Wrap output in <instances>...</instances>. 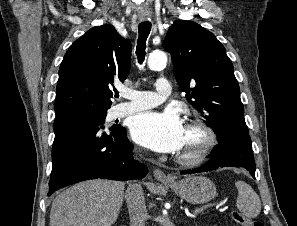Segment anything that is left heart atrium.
I'll return each instance as SVG.
<instances>
[{
	"mask_svg": "<svg viewBox=\"0 0 297 226\" xmlns=\"http://www.w3.org/2000/svg\"><path fill=\"white\" fill-rule=\"evenodd\" d=\"M132 139L156 152H177L183 146L185 126L175 111L144 112L130 124Z\"/></svg>",
	"mask_w": 297,
	"mask_h": 226,
	"instance_id": "1",
	"label": "left heart atrium"
}]
</instances>
